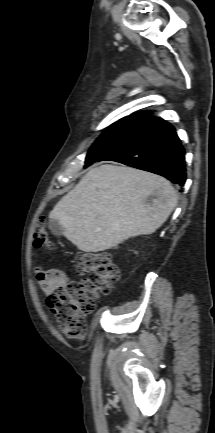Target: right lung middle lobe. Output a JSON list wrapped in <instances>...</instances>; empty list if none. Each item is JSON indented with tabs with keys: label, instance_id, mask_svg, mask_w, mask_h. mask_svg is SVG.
Wrapping results in <instances>:
<instances>
[{
	"label": "right lung middle lobe",
	"instance_id": "obj_1",
	"mask_svg": "<svg viewBox=\"0 0 215 433\" xmlns=\"http://www.w3.org/2000/svg\"><path fill=\"white\" fill-rule=\"evenodd\" d=\"M147 122L146 119L124 118L112 124L88 151L84 167L102 161L124 148L140 133Z\"/></svg>",
	"mask_w": 215,
	"mask_h": 433
}]
</instances>
